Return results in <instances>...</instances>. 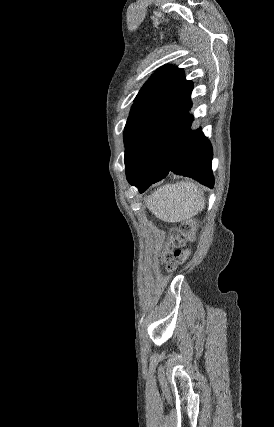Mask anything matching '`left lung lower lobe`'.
I'll return each mask as SVG.
<instances>
[{
  "label": "left lung lower lobe",
  "mask_w": 274,
  "mask_h": 427,
  "mask_svg": "<svg viewBox=\"0 0 274 427\" xmlns=\"http://www.w3.org/2000/svg\"><path fill=\"white\" fill-rule=\"evenodd\" d=\"M193 84L152 125L140 145L136 161L126 174L131 185L143 193L172 171L213 187L212 147L201 129L191 130L188 114Z\"/></svg>",
  "instance_id": "left-lung-lower-lobe-1"
}]
</instances>
